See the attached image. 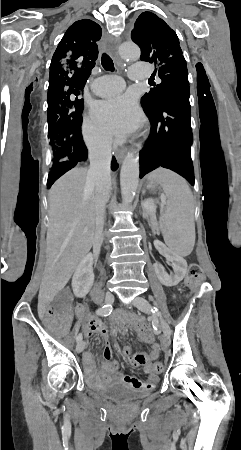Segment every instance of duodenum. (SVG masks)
<instances>
[{"label": "duodenum", "mask_w": 241, "mask_h": 450, "mask_svg": "<svg viewBox=\"0 0 241 450\" xmlns=\"http://www.w3.org/2000/svg\"><path fill=\"white\" fill-rule=\"evenodd\" d=\"M94 298H99V291L96 289L93 293Z\"/></svg>", "instance_id": "410a0bca"}]
</instances>
